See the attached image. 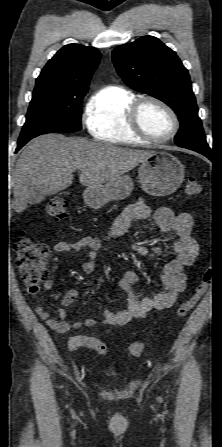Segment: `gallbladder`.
Segmentation results:
<instances>
[{
  "label": "gallbladder",
  "instance_id": "obj_1",
  "mask_svg": "<svg viewBox=\"0 0 222 447\" xmlns=\"http://www.w3.org/2000/svg\"><path fill=\"white\" fill-rule=\"evenodd\" d=\"M47 194L42 192L41 190H35V195L29 200L30 205H36L45 200Z\"/></svg>",
  "mask_w": 222,
  "mask_h": 447
}]
</instances>
